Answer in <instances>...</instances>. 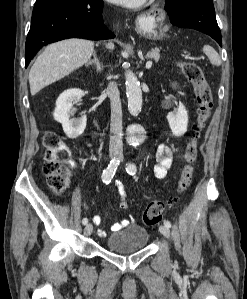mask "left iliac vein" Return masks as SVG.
Returning a JSON list of instances; mask_svg holds the SVG:
<instances>
[{
  "label": "left iliac vein",
  "mask_w": 247,
  "mask_h": 299,
  "mask_svg": "<svg viewBox=\"0 0 247 299\" xmlns=\"http://www.w3.org/2000/svg\"><path fill=\"white\" fill-rule=\"evenodd\" d=\"M159 231L161 232V234H163L165 237H169L170 236V230L169 227L165 226V225H161L159 227Z\"/></svg>",
  "instance_id": "4c4485c4"
}]
</instances>
